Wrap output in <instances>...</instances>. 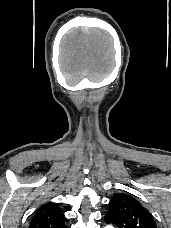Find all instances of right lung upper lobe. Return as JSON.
<instances>
[{"mask_svg": "<svg viewBox=\"0 0 171 228\" xmlns=\"http://www.w3.org/2000/svg\"><path fill=\"white\" fill-rule=\"evenodd\" d=\"M29 228H66L65 216L57 203L49 202L38 209Z\"/></svg>", "mask_w": 171, "mask_h": 228, "instance_id": "1", "label": "right lung upper lobe"}]
</instances>
